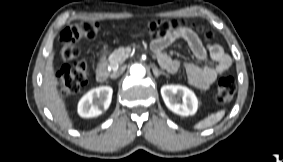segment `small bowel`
I'll return each mask as SVG.
<instances>
[{"mask_svg":"<svg viewBox=\"0 0 283 162\" xmlns=\"http://www.w3.org/2000/svg\"><path fill=\"white\" fill-rule=\"evenodd\" d=\"M177 39L185 40L194 56L205 63L203 66L183 64L190 83L196 88L209 89L217 77L230 68L231 59L220 45L205 44L192 29L184 28L157 38L151 44L159 64L168 72L175 73L182 65L179 60L173 59L165 52V49Z\"/></svg>","mask_w":283,"mask_h":162,"instance_id":"1","label":"small bowel"}]
</instances>
